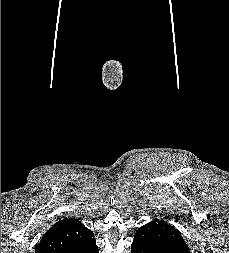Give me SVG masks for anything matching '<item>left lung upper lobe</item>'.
I'll return each mask as SVG.
<instances>
[{
  "instance_id": "5c2ea615",
  "label": "left lung upper lobe",
  "mask_w": 229,
  "mask_h": 253,
  "mask_svg": "<svg viewBox=\"0 0 229 253\" xmlns=\"http://www.w3.org/2000/svg\"><path fill=\"white\" fill-rule=\"evenodd\" d=\"M134 240L154 247L183 248L189 250L181 233L162 220L155 219L140 227Z\"/></svg>"
}]
</instances>
